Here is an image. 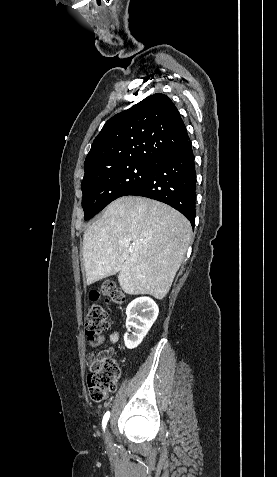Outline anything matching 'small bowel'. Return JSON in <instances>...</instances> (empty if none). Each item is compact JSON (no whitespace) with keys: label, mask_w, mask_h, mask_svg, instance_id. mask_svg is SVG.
I'll list each match as a JSON object with an SVG mask.
<instances>
[{"label":"small bowel","mask_w":277,"mask_h":477,"mask_svg":"<svg viewBox=\"0 0 277 477\" xmlns=\"http://www.w3.org/2000/svg\"><path fill=\"white\" fill-rule=\"evenodd\" d=\"M118 338H119V333L117 331L111 333L109 336L110 346L106 350H103L99 352L98 354L89 353L86 357L87 364L90 366L91 364L99 360L100 358L113 354L115 351L113 345L118 341ZM105 341H106V337L102 336L96 341H89L88 345L90 348H96L102 345Z\"/></svg>","instance_id":"small-bowel-1"}]
</instances>
